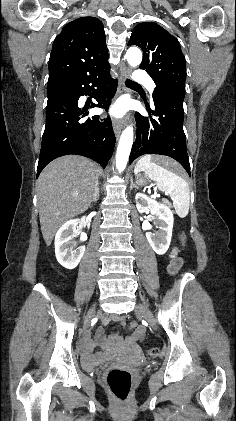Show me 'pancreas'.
<instances>
[{"label":"pancreas","mask_w":236,"mask_h":421,"mask_svg":"<svg viewBox=\"0 0 236 421\" xmlns=\"http://www.w3.org/2000/svg\"><path fill=\"white\" fill-rule=\"evenodd\" d=\"M165 204H168L169 208L170 206H172L171 202H169V200H164Z\"/></svg>","instance_id":"cf45deb5"}]
</instances>
